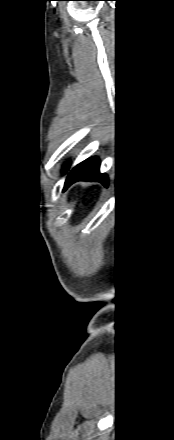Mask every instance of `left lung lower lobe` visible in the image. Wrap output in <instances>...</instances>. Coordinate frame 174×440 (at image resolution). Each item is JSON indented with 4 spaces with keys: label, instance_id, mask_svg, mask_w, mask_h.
Listing matches in <instances>:
<instances>
[{
    "label": "left lung lower lobe",
    "instance_id": "obj_1",
    "mask_svg": "<svg viewBox=\"0 0 174 440\" xmlns=\"http://www.w3.org/2000/svg\"><path fill=\"white\" fill-rule=\"evenodd\" d=\"M99 168L100 161L96 157L89 158L81 162L68 174L65 181L64 189L79 180L100 181L106 185L108 181L107 176L105 174H100Z\"/></svg>",
    "mask_w": 174,
    "mask_h": 440
}]
</instances>
